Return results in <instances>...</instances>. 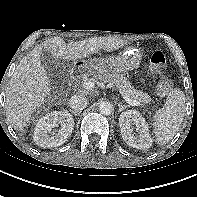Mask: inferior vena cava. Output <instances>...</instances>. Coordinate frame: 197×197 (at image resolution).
<instances>
[{
    "mask_svg": "<svg viewBox=\"0 0 197 197\" xmlns=\"http://www.w3.org/2000/svg\"><path fill=\"white\" fill-rule=\"evenodd\" d=\"M88 100L83 95H74L69 100V106L71 107L72 111L76 113H80L83 109L87 107Z\"/></svg>",
    "mask_w": 197,
    "mask_h": 197,
    "instance_id": "inferior-vena-cava-1",
    "label": "inferior vena cava"
}]
</instances>
